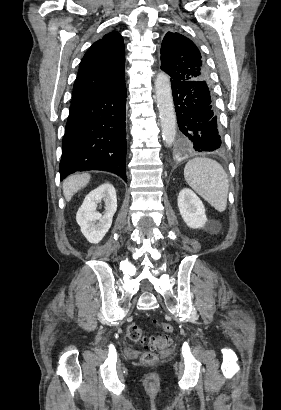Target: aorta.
I'll return each instance as SVG.
<instances>
[{
  "label": "aorta",
  "mask_w": 281,
  "mask_h": 410,
  "mask_svg": "<svg viewBox=\"0 0 281 410\" xmlns=\"http://www.w3.org/2000/svg\"><path fill=\"white\" fill-rule=\"evenodd\" d=\"M155 94L161 121L162 137L167 147H171L176 138V114L173 104L169 77L160 73L155 80Z\"/></svg>",
  "instance_id": "762f6f07"
}]
</instances>
